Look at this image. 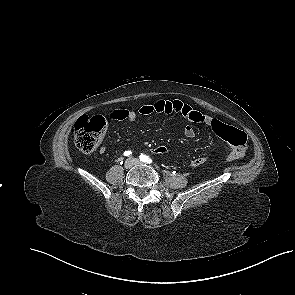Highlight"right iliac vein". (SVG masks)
I'll return each instance as SVG.
<instances>
[{"mask_svg":"<svg viewBox=\"0 0 295 295\" xmlns=\"http://www.w3.org/2000/svg\"><path fill=\"white\" fill-rule=\"evenodd\" d=\"M133 166V161L131 159H127L124 163L125 169H130Z\"/></svg>","mask_w":295,"mask_h":295,"instance_id":"1","label":"right iliac vein"}]
</instances>
